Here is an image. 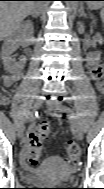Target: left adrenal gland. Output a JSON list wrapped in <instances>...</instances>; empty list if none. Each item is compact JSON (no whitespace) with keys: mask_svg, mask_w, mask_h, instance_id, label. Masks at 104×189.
Segmentation results:
<instances>
[{"mask_svg":"<svg viewBox=\"0 0 104 189\" xmlns=\"http://www.w3.org/2000/svg\"><path fill=\"white\" fill-rule=\"evenodd\" d=\"M79 16L80 17H86V14L84 12V8L83 7H81L80 10H79Z\"/></svg>","mask_w":104,"mask_h":189,"instance_id":"obj_1","label":"left adrenal gland"}]
</instances>
